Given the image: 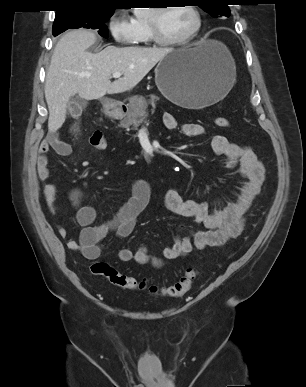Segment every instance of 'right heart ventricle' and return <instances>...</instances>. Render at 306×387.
Returning <instances> with one entry per match:
<instances>
[{"instance_id":"right-heart-ventricle-1","label":"right heart ventricle","mask_w":306,"mask_h":387,"mask_svg":"<svg viewBox=\"0 0 306 387\" xmlns=\"http://www.w3.org/2000/svg\"><path fill=\"white\" fill-rule=\"evenodd\" d=\"M131 22L134 26V38L132 42L136 45H149L152 40L147 25V17L136 15Z\"/></svg>"}]
</instances>
